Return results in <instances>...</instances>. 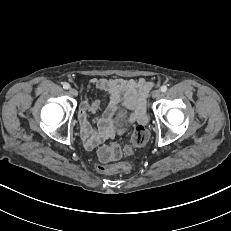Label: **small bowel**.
<instances>
[{"label": "small bowel", "instance_id": "small-bowel-1", "mask_svg": "<svg viewBox=\"0 0 231 231\" xmlns=\"http://www.w3.org/2000/svg\"><path fill=\"white\" fill-rule=\"evenodd\" d=\"M153 83L142 78L135 79H92L89 88L109 94L106 110L101 117L95 118L97 129L92 127L90 114L102 107L100 99H86L79 109L81 137L87 149H94L106 139L112 137L120 126L114 119L115 114L124 108L129 112L126 122H144L146 116V99Z\"/></svg>", "mask_w": 231, "mask_h": 231}]
</instances>
